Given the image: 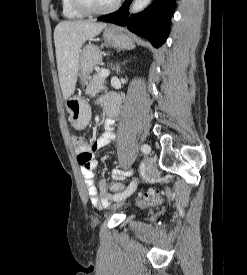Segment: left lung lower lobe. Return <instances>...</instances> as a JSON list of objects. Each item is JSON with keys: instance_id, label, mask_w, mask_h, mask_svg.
I'll use <instances>...</instances> for the list:
<instances>
[{"instance_id": "left-lung-lower-lobe-1", "label": "left lung lower lobe", "mask_w": 247, "mask_h": 275, "mask_svg": "<svg viewBox=\"0 0 247 275\" xmlns=\"http://www.w3.org/2000/svg\"><path fill=\"white\" fill-rule=\"evenodd\" d=\"M131 1L126 0L118 11L101 16L98 20L127 26L130 31L148 39L154 47H160L169 34L175 0H154L143 12L128 18Z\"/></svg>"}]
</instances>
